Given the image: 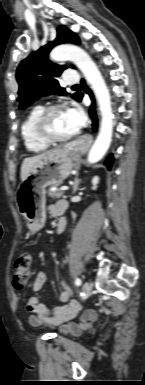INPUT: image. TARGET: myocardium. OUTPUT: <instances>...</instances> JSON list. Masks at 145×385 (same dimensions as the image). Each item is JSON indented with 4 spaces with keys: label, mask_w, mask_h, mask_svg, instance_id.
Instances as JSON below:
<instances>
[{
    "label": "myocardium",
    "mask_w": 145,
    "mask_h": 385,
    "mask_svg": "<svg viewBox=\"0 0 145 385\" xmlns=\"http://www.w3.org/2000/svg\"><path fill=\"white\" fill-rule=\"evenodd\" d=\"M60 110H64V106L61 104L50 105L42 110L35 122V133L42 141L47 144L65 143L78 135V131L67 137H56L49 129V120L51 116Z\"/></svg>",
    "instance_id": "1"
}]
</instances>
